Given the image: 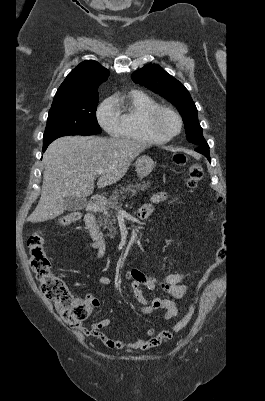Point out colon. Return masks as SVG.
<instances>
[{
  "mask_svg": "<svg viewBox=\"0 0 265 401\" xmlns=\"http://www.w3.org/2000/svg\"><path fill=\"white\" fill-rule=\"evenodd\" d=\"M176 164L182 165L186 162V156L176 154L174 156ZM203 176V168L200 164H192L189 167L186 185L188 188H195ZM221 202V198H217ZM80 215L73 212L63 216L60 222L68 225L77 219ZM44 233L42 229L37 230L28 240V246L31 254V268L36 278L40 282L43 295L52 300L62 318L71 325H80L84 322L92 311V306L96 305L94 301L76 298L68 289L66 282L59 276L52 273L51 261L48 258L44 247ZM226 259L225 247H220L216 253L215 262L203 273L198 281L197 288L209 278L211 273L216 270ZM193 314V306L189 308L184 317L173 327V331L183 329L190 321ZM167 339L172 337V332L165 331Z\"/></svg>",
  "mask_w": 265,
  "mask_h": 401,
  "instance_id": "1",
  "label": "colon"
}]
</instances>
